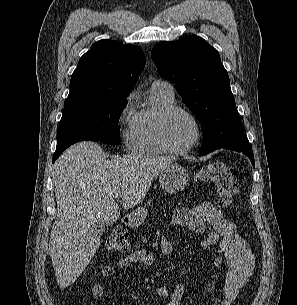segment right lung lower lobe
Listing matches in <instances>:
<instances>
[{
    "label": "right lung lower lobe",
    "instance_id": "right-lung-lower-lobe-1",
    "mask_svg": "<svg viewBox=\"0 0 297 305\" xmlns=\"http://www.w3.org/2000/svg\"><path fill=\"white\" fill-rule=\"evenodd\" d=\"M64 150L63 149H60V150H57L55 151L54 155H53V159H52V163L55 162V160L62 154Z\"/></svg>",
    "mask_w": 297,
    "mask_h": 305
}]
</instances>
